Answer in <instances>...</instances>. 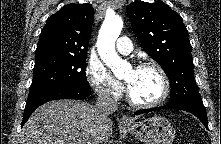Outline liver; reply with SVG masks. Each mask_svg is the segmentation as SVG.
I'll return each mask as SVG.
<instances>
[{
	"label": "liver",
	"mask_w": 221,
	"mask_h": 144,
	"mask_svg": "<svg viewBox=\"0 0 221 144\" xmlns=\"http://www.w3.org/2000/svg\"><path fill=\"white\" fill-rule=\"evenodd\" d=\"M112 121L100 120L95 106L56 100L38 107L24 125L20 144H103L112 135Z\"/></svg>",
	"instance_id": "liver-1"
}]
</instances>
